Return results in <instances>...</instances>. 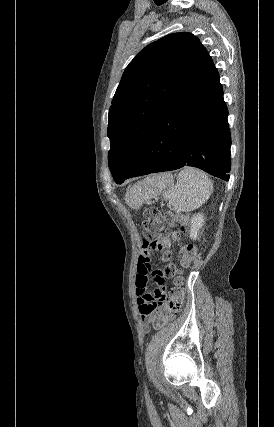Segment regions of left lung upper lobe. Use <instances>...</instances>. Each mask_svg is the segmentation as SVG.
<instances>
[{"mask_svg":"<svg viewBox=\"0 0 274 427\" xmlns=\"http://www.w3.org/2000/svg\"><path fill=\"white\" fill-rule=\"evenodd\" d=\"M208 58L199 39L182 32L151 43L130 62L109 110L113 177L128 172L158 118Z\"/></svg>","mask_w":274,"mask_h":427,"instance_id":"5c2ea615","label":"left lung upper lobe"}]
</instances>
